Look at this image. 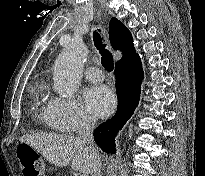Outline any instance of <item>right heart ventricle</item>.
<instances>
[{
	"label": "right heart ventricle",
	"instance_id": "e07e8e85",
	"mask_svg": "<svg viewBox=\"0 0 205 176\" xmlns=\"http://www.w3.org/2000/svg\"><path fill=\"white\" fill-rule=\"evenodd\" d=\"M44 93L41 92L35 99V109L39 116L46 119L52 127H55V124L51 121L48 111L49 101L43 100Z\"/></svg>",
	"mask_w": 205,
	"mask_h": 176
}]
</instances>
